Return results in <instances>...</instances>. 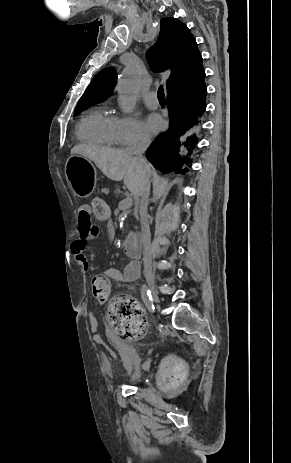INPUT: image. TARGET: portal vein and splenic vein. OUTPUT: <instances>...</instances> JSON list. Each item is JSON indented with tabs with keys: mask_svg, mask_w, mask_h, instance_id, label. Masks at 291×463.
Wrapping results in <instances>:
<instances>
[{
	"mask_svg": "<svg viewBox=\"0 0 291 463\" xmlns=\"http://www.w3.org/2000/svg\"><path fill=\"white\" fill-rule=\"evenodd\" d=\"M132 205V198L130 197H126L125 199H123L122 201L119 202V209L121 210H126L128 208H130Z\"/></svg>",
	"mask_w": 291,
	"mask_h": 463,
	"instance_id": "1",
	"label": "portal vein and splenic vein"
}]
</instances>
